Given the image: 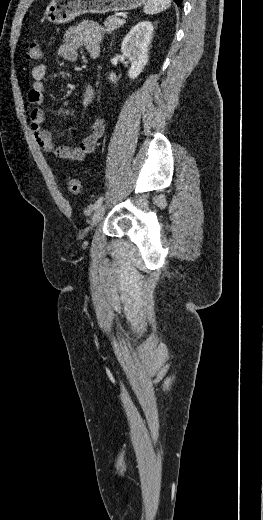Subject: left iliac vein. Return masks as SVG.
I'll return each instance as SVG.
<instances>
[{
    "mask_svg": "<svg viewBox=\"0 0 263 520\" xmlns=\"http://www.w3.org/2000/svg\"><path fill=\"white\" fill-rule=\"evenodd\" d=\"M104 212H105V206L104 205H100L94 212L93 214V218H92V221H93V225H97L100 220L102 219L103 215H104Z\"/></svg>",
    "mask_w": 263,
    "mask_h": 520,
    "instance_id": "1",
    "label": "left iliac vein"
}]
</instances>
